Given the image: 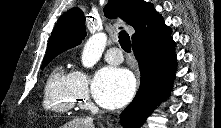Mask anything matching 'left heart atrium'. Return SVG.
<instances>
[{
  "label": "left heart atrium",
  "mask_w": 221,
  "mask_h": 128,
  "mask_svg": "<svg viewBox=\"0 0 221 128\" xmlns=\"http://www.w3.org/2000/svg\"><path fill=\"white\" fill-rule=\"evenodd\" d=\"M135 92L133 76L125 69L107 67L94 79L92 94L102 106L113 109L130 101Z\"/></svg>",
  "instance_id": "obj_1"
}]
</instances>
